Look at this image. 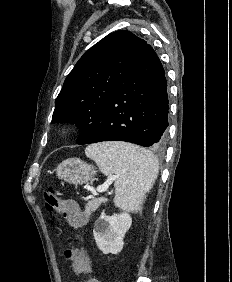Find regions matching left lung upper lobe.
<instances>
[{"label":"left lung upper lobe","mask_w":232,"mask_h":282,"mask_svg":"<svg viewBox=\"0 0 232 282\" xmlns=\"http://www.w3.org/2000/svg\"><path fill=\"white\" fill-rule=\"evenodd\" d=\"M147 42L125 30L110 33L74 66L55 100L52 123L68 121L83 133L100 117L117 89L129 77ZM79 137V138H80Z\"/></svg>","instance_id":"obj_1"}]
</instances>
